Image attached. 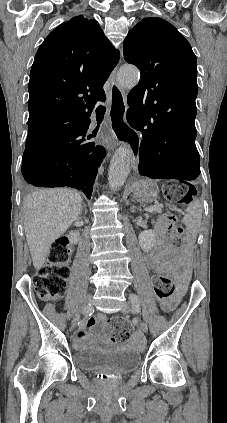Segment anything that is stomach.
Segmentation results:
<instances>
[{"instance_id": "stomach-1", "label": "stomach", "mask_w": 227, "mask_h": 423, "mask_svg": "<svg viewBox=\"0 0 227 423\" xmlns=\"http://www.w3.org/2000/svg\"><path fill=\"white\" fill-rule=\"evenodd\" d=\"M133 192L139 202H146V204L156 202L159 196V188L152 180H141V182H137L133 186Z\"/></svg>"}]
</instances>
